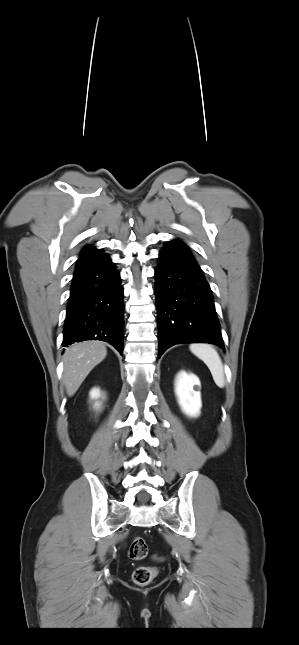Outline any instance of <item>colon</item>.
Returning <instances> with one entry per match:
<instances>
[{"label":"colon","mask_w":299,"mask_h":645,"mask_svg":"<svg viewBox=\"0 0 299 645\" xmlns=\"http://www.w3.org/2000/svg\"><path fill=\"white\" fill-rule=\"evenodd\" d=\"M148 554V546L144 538L135 537L130 545L129 557L132 560L139 561L144 559ZM157 575V569L153 566L137 567L133 574L132 580L138 586L148 585Z\"/></svg>","instance_id":"1"}]
</instances>
